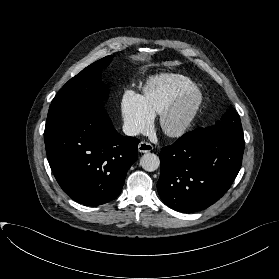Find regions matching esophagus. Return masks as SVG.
Returning a JSON list of instances; mask_svg holds the SVG:
<instances>
[{"label":"esophagus","mask_w":279,"mask_h":279,"mask_svg":"<svg viewBox=\"0 0 279 279\" xmlns=\"http://www.w3.org/2000/svg\"><path fill=\"white\" fill-rule=\"evenodd\" d=\"M152 149H153L152 144L145 141H141L138 145V151L141 153L150 152Z\"/></svg>","instance_id":"obj_1"}]
</instances>
